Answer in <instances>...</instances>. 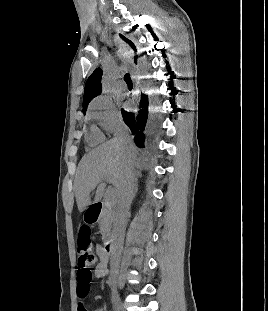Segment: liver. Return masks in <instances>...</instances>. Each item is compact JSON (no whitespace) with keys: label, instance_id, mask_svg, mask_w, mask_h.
Returning <instances> with one entry per match:
<instances>
[{"label":"liver","instance_id":"1","mask_svg":"<svg viewBox=\"0 0 268 311\" xmlns=\"http://www.w3.org/2000/svg\"><path fill=\"white\" fill-rule=\"evenodd\" d=\"M137 149L130 141L125 142L119 137L93 150L82 158L75 178V195L78 209L82 212L91 204L90 193L96 189L93 202L104 196L106 178H111L118 195L129 172L142 169L143 164L137 156Z\"/></svg>","mask_w":268,"mask_h":311}]
</instances>
